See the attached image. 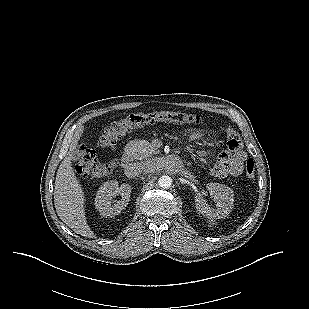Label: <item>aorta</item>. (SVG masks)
Here are the masks:
<instances>
[{"mask_svg":"<svg viewBox=\"0 0 309 309\" xmlns=\"http://www.w3.org/2000/svg\"><path fill=\"white\" fill-rule=\"evenodd\" d=\"M158 184L161 188H169L172 185V178L168 175H163L159 178Z\"/></svg>","mask_w":309,"mask_h":309,"instance_id":"obj_1","label":"aorta"}]
</instances>
